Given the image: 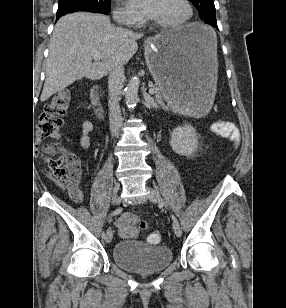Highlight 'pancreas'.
<instances>
[{
	"label": "pancreas",
	"mask_w": 286,
	"mask_h": 308,
	"mask_svg": "<svg viewBox=\"0 0 286 308\" xmlns=\"http://www.w3.org/2000/svg\"><path fill=\"white\" fill-rule=\"evenodd\" d=\"M156 89H157V92L155 93V98L165 109H168V107H175L176 106L173 102H168V107H167L164 103V101H166L164 93L160 89H158V88H156Z\"/></svg>",
	"instance_id": "obj_1"
}]
</instances>
